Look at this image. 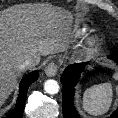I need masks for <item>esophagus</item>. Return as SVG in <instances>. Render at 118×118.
I'll return each mask as SVG.
<instances>
[{
    "label": "esophagus",
    "mask_w": 118,
    "mask_h": 118,
    "mask_svg": "<svg viewBox=\"0 0 118 118\" xmlns=\"http://www.w3.org/2000/svg\"><path fill=\"white\" fill-rule=\"evenodd\" d=\"M56 72H57V67L51 63L49 64L46 68H45V73L47 76L49 77H53L56 75Z\"/></svg>",
    "instance_id": "esophagus-1"
}]
</instances>
